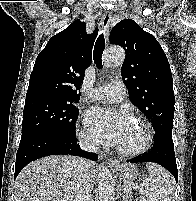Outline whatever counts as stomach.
Returning <instances> with one entry per match:
<instances>
[{
    "label": "stomach",
    "mask_w": 196,
    "mask_h": 201,
    "mask_svg": "<svg viewBox=\"0 0 196 201\" xmlns=\"http://www.w3.org/2000/svg\"><path fill=\"white\" fill-rule=\"evenodd\" d=\"M124 182H130L138 177V170L132 165H123L116 168Z\"/></svg>",
    "instance_id": "obj_1"
}]
</instances>
